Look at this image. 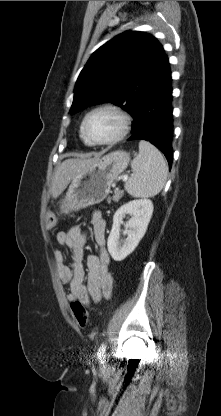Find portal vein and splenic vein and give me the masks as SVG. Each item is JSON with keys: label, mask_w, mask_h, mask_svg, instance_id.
Returning <instances> with one entry per match:
<instances>
[{"label": "portal vein and splenic vein", "mask_w": 221, "mask_h": 416, "mask_svg": "<svg viewBox=\"0 0 221 416\" xmlns=\"http://www.w3.org/2000/svg\"><path fill=\"white\" fill-rule=\"evenodd\" d=\"M127 178H128V176H127V175L123 176V180H124V181H125V180H127Z\"/></svg>", "instance_id": "portal-vein-and-splenic-vein-1"}]
</instances>
